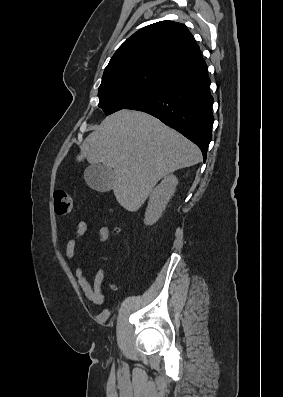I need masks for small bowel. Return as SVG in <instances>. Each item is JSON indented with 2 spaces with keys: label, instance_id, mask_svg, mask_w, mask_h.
Masks as SVG:
<instances>
[{
  "label": "small bowel",
  "instance_id": "small-bowel-1",
  "mask_svg": "<svg viewBox=\"0 0 283 397\" xmlns=\"http://www.w3.org/2000/svg\"><path fill=\"white\" fill-rule=\"evenodd\" d=\"M88 230V223L85 220H80L77 223L76 231L74 236L69 239L65 247V257L67 260H72L76 246L79 240L85 235ZM110 235L109 228L107 226H101L97 233V238L100 242H105ZM77 282L83 291L85 297L96 305H101L104 301V289H103V281H104V271L100 269L94 276L93 284L87 280L84 276L83 269L81 267H76L74 271Z\"/></svg>",
  "mask_w": 283,
  "mask_h": 397
}]
</instances>
